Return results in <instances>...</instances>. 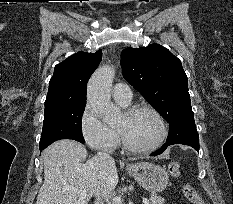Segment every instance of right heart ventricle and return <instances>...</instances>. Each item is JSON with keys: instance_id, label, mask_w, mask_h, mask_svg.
<instances>
[{"instance_id": "1", "label": "right heart ventricle", "mask_w": 233, "mask_h": 204, "mask_svg": "<svg viewBox=\"0 0 233 204\" xmlns=\"http://www.w3.org/2000/svg\"><path fill=\"white\" fill-rule=\"evenodd\" d=\"M120 105H122L123 107H127L129 104H126V105H124V104H120ZM115 130V129H114ZM115 132L117 133V131L115 130ZM117 135H118V133H117Z\"/></svg>"}]
</instances>
